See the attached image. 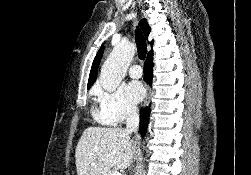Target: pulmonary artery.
Here are the masks:
<instances>
[{"instance_id":"1","label":"pulmonary artery","mask_w":251,"mask_h":175,"mask_svg":"<svg viewBox=\"0 0 251 175\" xmlns=\"http://www.w3.org/2000/svg\"><path fill=\"white\" fill-rule=\"evenodd\" d=\"M128 73L131 77L137 78L142 76L143 70L139 65L134 63L132 66H130Z\"/></svg>"}]
</instances>
